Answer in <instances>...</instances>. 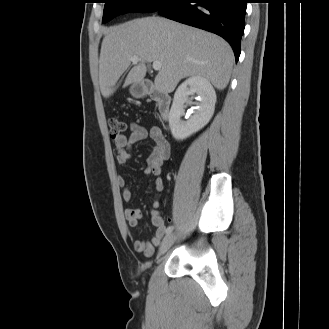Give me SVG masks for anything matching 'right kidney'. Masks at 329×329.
I'll return each mask as SVG.
<instances>
[{
  "label": "right kidney",
  "mask_w": 329,
  "mask_h": 329,
  "mask_svg": "<svg viewBox=\"0 0 329 329\" xmlns=\"http://www.w3.org/2000/svg\"><path fill=\"white\" fill-rule=\"evenodd\" d=\"M198 95L197 109L187 121H181L184 104L192 103L193 95ZM216 93L208 80L193 76L177 88L169 112V126L176 140H183L202 129L214 114Z\"/></svg>",
  "instance_id": "right-kidney-1"
}]
</instances>
